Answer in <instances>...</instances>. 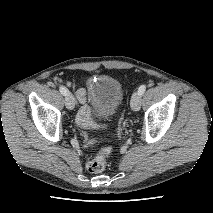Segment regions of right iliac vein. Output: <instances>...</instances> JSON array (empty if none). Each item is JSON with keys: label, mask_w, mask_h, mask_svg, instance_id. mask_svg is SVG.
<instances>
[{"label": "right iliac vein", "mask_w": 213, "mask_h": 213, "mask_svg": "<svg viewBox=\"0 0 213 213\" xmlns=\"http://www.w3.org/2000/svg\"><path fill=\"white\" fill-rule=\"evenodd\" d=\"M65 106L67 109L72 110L75 107V98L71 93H67L65 97Z\"/></svg>", "instance_id": "1"}]
</instances>
